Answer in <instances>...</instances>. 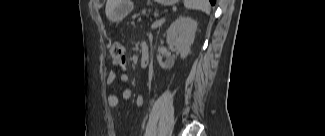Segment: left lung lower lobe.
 <instances>
[{
  "instance_id": "obj_1",
  "label": "left lung lower lobe",
  "mask_w": 325,
  "mask_h": 136,
  "mask_svg": "<svg viewBox=\"0 0 325 136\" xmlns=\"http://www.w3.org/2000/svg\"><path fill=\"white\" fill-rule=\"evenodd\" d=\"M211 2L212 5L215 4V0H209Z\"/></svg>"
}]
</instances>
